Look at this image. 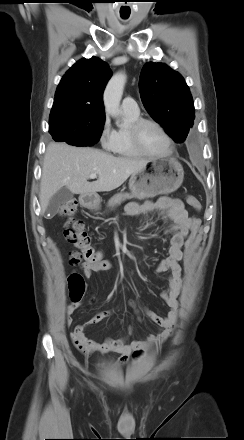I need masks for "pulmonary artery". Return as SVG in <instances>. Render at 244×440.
I'll list each match as a JSON object with an SVG mask.
<instances>
[{"mask_svg":"<svg viewBox=\"0 0 244 440\" xmlns=\"http://www.w3.org/2000/svg\"><path fill=\"white\" fill-rule=\"evenodd\" d=\"M121 108L125 113L138 114L139 107L137 102L132 97H125L122 101Z\"/></svg>","mask_w":244,"mask_h":440,"instance_id":"pulmonary-artery-1","label":"pulmonary artery"}]
</instances>
